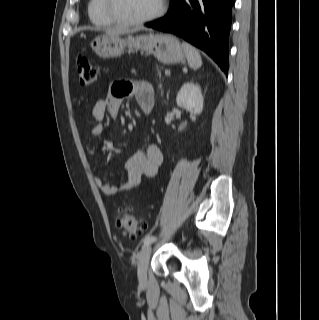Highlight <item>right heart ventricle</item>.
<instances>
[{"label": "right heart ventricle", "instance_id": "obj_1", "mask_svg": "<svg viewBox=\"0 0 319 320\" xmlns=\"http://www.w3.org/2000/svg\"><path fill=\"white\" fill-rule=\"evenodd\" d=\"M88 14L90 20L96 26L108 27L116 24L106 15L103 0H90L88 4Z\"/></svg>", "mask_w": 319, "mask_h": 320}]
</instances>
